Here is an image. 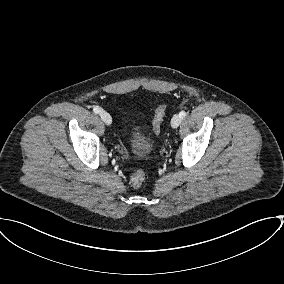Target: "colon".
Returning a JSON list of instances; mask_svg holds the SVG:
<instances>
[{
	"mask_svg": "<svg viewBox=\"0 0 284 284\" xmlns=\"http://www.w3.org/2000/svg\"><path fill=\"white\" fill-rule=\"evenodd\" d=\"M165 109H166L165 104L161 103L158 105V107L155 110V115L152 122V131L155 135L159 134L160 132L161 124L165 115ZM144 180H145V172L139 170L131 176L130 183L134 187H140L143 184Z\"/></svg>",
	"mask_w": 284,
	"mask_h": 284,
	"instance_id": "5ec220e1",
	"label": "colon"
}]
</instances>
